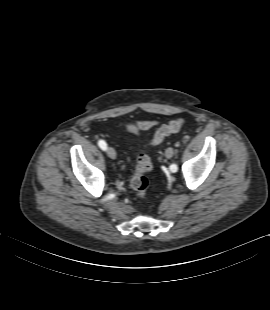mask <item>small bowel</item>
I'll use <instances>...</instances> for the list:
<instances>
[{"label":"small bowel","instance_id":"obj_1","mask_svg":"<svg viewBox=\"0 0 270 310\" xmlns=\"http://www.w3.org/2000/svg\"><path fill=\"white\" fill-rule=\"evenodd\" d=\"M159 125L156 120H139L136 122H125L123 126L132 134L139 135L143 131H147Z\"/></svg>","mask_w":270,"mask_h":310}]
</instances>
